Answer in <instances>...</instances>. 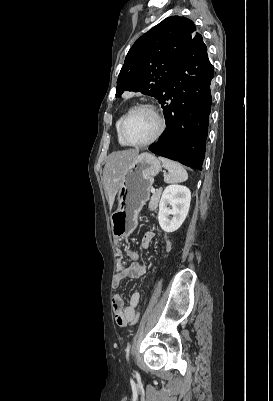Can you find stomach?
I'll use <instances>...</instances> for the list:
<instances>
[{
    "mask_svg": "<svg viewBox=\"0 0 273 401\" xmlns=\"http://www.w3.org/2000/svg\"><path fill=\"white\" fill-rule=\"evenodd\" d=\"M161 170V162L150 152H142L124 170V180L117 192L118 209L112 213L113 239H125L135 231L139 213L149 201L153 176Z\"/></svg>",
    "mask_w": 273,
    "mask_h": 401,
    "instance_id": "0dacf381",
    "label": "stomach"
}]
</instances>
